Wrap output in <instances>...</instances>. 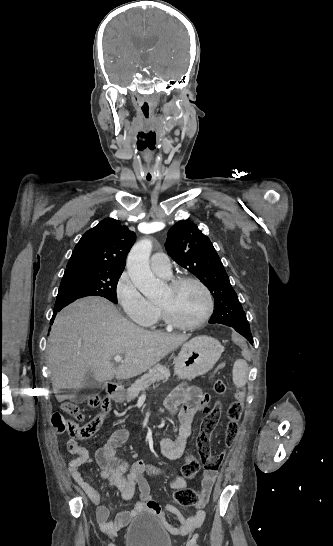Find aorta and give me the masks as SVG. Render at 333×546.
I'll return each mask as SVG.
<instances>
[{
  "mask_svg": "<svg viewBox=\"0 0 333 546\" xmlns=\"http://www.w3.org/2000/svg\"><path fill=\"white\" fill-rule=\"evenodd\" d=\"M152 242L143 239L131 249L127 258V271L134 285L147 298H153L157 292V279L149 266Z\"/></svg>",
  "mask_w": 333,
  "mask_h": 546,
  "instance_id": "aorta-1",
  "label": "aorta"
}]
</instances>
